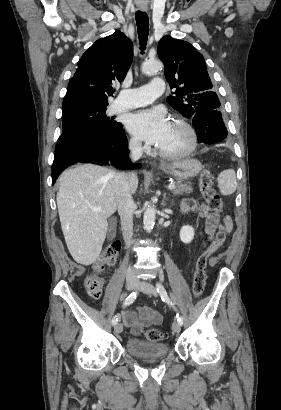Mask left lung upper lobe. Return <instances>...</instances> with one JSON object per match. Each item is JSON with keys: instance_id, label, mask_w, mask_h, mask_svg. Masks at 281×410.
Listing matches in <instances>:
<instances>
[{"instance_id": "left-lung-upper-lobe-1", "label": "left lung upper lobe", "mask_w": 281, "mask_h": 410, "mask_svg": "<svg viewBox=\"0 0 281 410\" xmlns=\"http://www.w3.org/2000/svg\"><path fill=\"white\" fill-rule=\"evenodd\" d=\"M158 56L173 89L167 101L175 110L193 119L197 113L219 109L205 60L190 43L164 36L158 44Z\"/></svg>"}]
</instances>
